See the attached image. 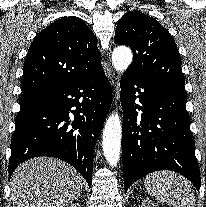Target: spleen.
<instances>
[{"label": "spleen", "mask_w": 206, "mask_h": 207, "mask_svg": "<svg viewBox=\"0 0 206 207\" xmlns=\"http://www.w3.org/2000/svg\"><path fill=\"white\" fill-rule=\"evenodd\" d=\"M144 185L157 201L173 207H195V195L189 182L179 174L161 171L149 174Z\"/></svg>", "instance_id": "spleen-1"}]
</instances>
